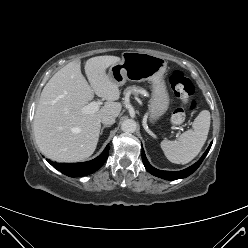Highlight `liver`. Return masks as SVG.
I'll return each instance as SVG.
<instances>
[{"mask_svg": "<svg viewBox=\"0 0 248 248\" xmlns=\"http://www.w3.org/2000/svg\"><path fill=\"white\" fill-rule=\"evenodd\" d=\"M117 56H97L85 64L87 80L81 73V61L74 60L61 68L45 85L34 116L33 129L41 152L57 162H78L96 149L101 118L118 117L122 105L119 86L106 70L120 62ZM96 94L105 102L98 111L82 112Z\"/></svg>", "mask_w": 248, "mask_h": 248, "instance_id": "obj_1", "label": "liver"}]
</instances>
